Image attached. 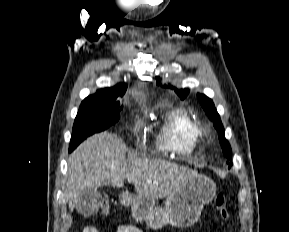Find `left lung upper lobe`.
Returning a JSON list of instances; mask_svg holds the SVG:
<instances>
[{
    "label": "left lung upper lobe",
    "mask_w": 289,
    "mask_h": 232,
    "mask_svg": "<svg viewBox=\"0 0 289 232\" xmlns=\"http://www.w3.org/2000/svg\"><path fill=\"white\" fill-rule=\"evenodd\" d=\"M158 80L160 81V78H158ZM168 88L174 89V91L182 99L184 97H186L189 93L188 89L179 90L170 84L168 85ZM197 96L199 98L200 104L202 105L203 109L205 110V112L207 113L209 118L214 122L213 124H214V127L216 128V130L218 131V137H219L222 149H223L224 156L228 159H231V148H230L228 141L225 139L224 128H223L222 122L220 120V116H219L212 100L210 98H208L207 96H205L204 94H198Z\"/></svg>",
    "instance_id": "1"
}]
</instances>
